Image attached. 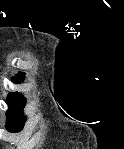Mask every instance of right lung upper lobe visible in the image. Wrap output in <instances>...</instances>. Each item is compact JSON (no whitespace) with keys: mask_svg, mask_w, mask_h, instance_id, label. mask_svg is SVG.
I'll list each match as a JSON object with an SVG mask.
<instances>
[{"mask_svg":"<svg viewBox=\"0 0 124 149\" xmlns=\"http://www.w3.org/2000/svg\"><path fill=\"white\" fill-rule=\"evenodd\" d=\"M24 80V75L22 76L21 74H19L18 76H14L12 77V81L14 83H21Z\"/></svg>","mask_w":124,"mask_h":149,"instance_id":"cb5924a9","label":"right lung upper lobe"}]
</instances>
